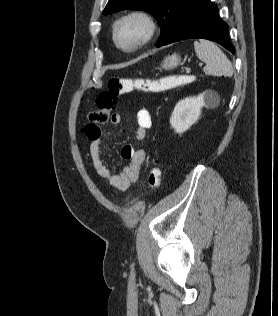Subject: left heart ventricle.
<instances>
[{"label":"left heart ventricle","instance_id":"b2bd125f","mask_svg":"<svg viewBox=\"0 0 278 316\" xmlns=\"http://www.w3.org/2000/svg\"><path fill=\"white\" fill-rule=\"evenodd\" d=\"M143 29L139 23L128 22L118 29V38L123 45H131L142 35Z\"/></svg>","mask_w":278,"mask_h":316}]
</instances>
